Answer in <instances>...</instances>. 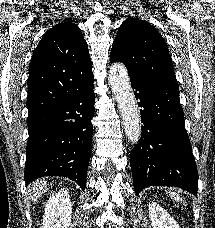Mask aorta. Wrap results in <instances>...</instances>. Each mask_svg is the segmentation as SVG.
<instances>
[{
	"mask_svg": "<svg viewBox=\"0 0 215 228\" xmlns=\"http://www.w3.org/2000/svg\"><path fill=\"white\" fill-rule=\"evenodd\" d=\"M109 84L122 116L125 134L132 144H137L141 138V118L124 64H113L109 68Z\"/></svg>",
	"mask_w": 215,
	"mask_h": 228,
	"instance_id": "aorta-1",
	"label": "aorta"
}]
</instances>
